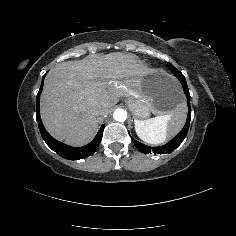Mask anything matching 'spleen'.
I'll return each instance as SVG.
<instances>
[{
	"instance_id": "spleen-1",
	"label": "spleen",
	"mask_w": 236,
	"mask_h": 236,
	"mask_svg": "<svg viewBox=\"0 0 236 236\" xmlns=\"http://www.w3.org/2000/svg\"><path fill=\"white\" fill-rule=\"evenodd\" d=\"M177 115L178 111L165 116H158L144 122L135 120L136 134L141 140L148 144H163L168 139L169 124Z\"/></svg>"
}]
</instances>
